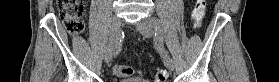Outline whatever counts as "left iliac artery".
<instances>
[{"instance_id": "left-iliac-artery-1", "label": "left iliac artery", "mask_w": 279, "mask_h": 82, "mask_svg": "<svg viewBox=\"0 0 279 82\" xmlns=\"http://www.w3.org/2000/svg\"><path fill=\"white\" fill-rule=\"evenodd\" d=\"M150 22L153 23V25L155 26L156 29V33L155 35L157 36L158 40H159V44H160V53L162 56H167L165 50H164V46H163V41H164V33L163 30L161 28V24L159 22V20L156 17H152L150 19Z\"/></svg>"}]
</instances>
